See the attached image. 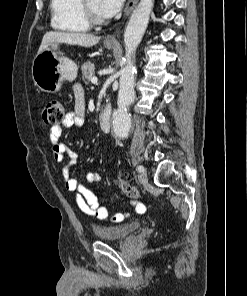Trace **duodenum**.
I'll list each match as a JSON object with an SVG mask.
<instances>
[{
    "label": "duodenum",
    "mask_w": 247,
    "mask_h": 296,
    "mask_svg": "<svg viewBox=\"0 0 247 296\" xmlns=\"http://www.w3.org/2000/svg\"><path fill=\"white\" fill-rule=\"evenodd\" d=\"M99 125L103 133L109 134L112 128V109L106 105L99 115Z\"/></svg>",
    "instance_id": "410a0bca"
}]
</instances>
